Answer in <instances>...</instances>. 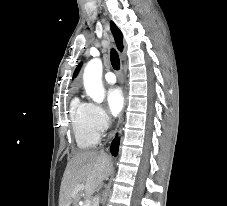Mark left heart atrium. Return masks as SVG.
Segmentation results:
<instances>
[{
    "mask_svg": "<svg viewBox=\"0 0 227 206\" xmlns=\"http://www.w3.org/2000/svg\"><path fill=\"white\" fill-rule=\"evenodd\" d=\"M107 106L109 112L114 116L121 112L124 106V97L120 88L114 87L108 90Z\"/></svg>",
    "mask_w": 227,
    "mask_h": 206,
    "instance_id": "left-heart-atrium-1",
    "label": "left heart atrium"
}]
</instances>
